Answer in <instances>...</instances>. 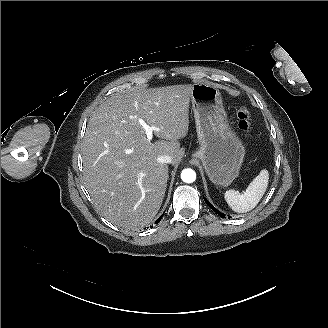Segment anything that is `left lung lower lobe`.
<instances>
[{
  "label": "left lung lower lobe",
  "instance_id": "0a47b994",
  "mask_svg": "<svg viewBox=\"0 0 328 328\" xmlns=\"http://www.w3.org/2000/svg\"><path fill=\"white\" fill-rule=\"evenodd\" d=\"M205 202L207 203V205L213 210L215 211L218 215H220V217L224 218L225 215L221 212H219L217 209H215L206 199H205ZM230 218V217H229Z\"/></svg>",
  "mask_w": 328,
  "mask_h": 328
}]
</instances>
